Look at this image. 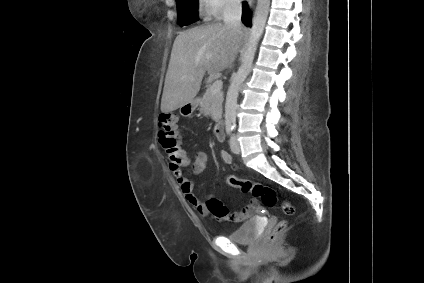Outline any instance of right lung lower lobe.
<instances>
[{"label": "right lung lower lobe", "instance_id": "right-lung-lower-lobe-1", "mask_svg": "<svg viewBox=\"0 0 424 283\" xmlns=\"http://www.w3.org/2000/svg\"><path fill=\"white\" fill-rule=\"evenodd\" d=\"M242 21L246 26H250V11L246 2L243 3Z\"/></svg>", "mask_w": 424, "mask_h": 283}]
</instances>
